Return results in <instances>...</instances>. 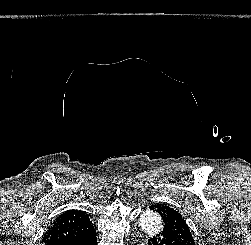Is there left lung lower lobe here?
I'll use <instances>...</instances> for the list:
<instances>
[{
  "label": "left lung lower lobe",
  "mask_w": 251,
  "mask_h": 245,
  "mask_svg": "<svg viewBox=\"0 0 251 245\" xmlns=\"http://www.w3.org/2000/svg\"><path fill=\"white\" fill-rule=\"evenodd\" d=\"M150 245H184L169 232H161L156 237L149 239Z\"/></svg>",
  "instance_id": "left-lung-lower-lobe-1"
}]
</instances>
